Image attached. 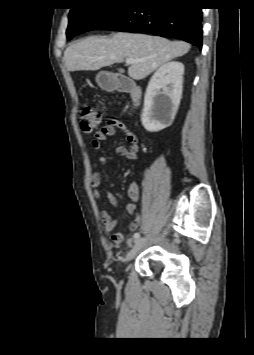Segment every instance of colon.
Listing matches in <instances>:
<instances>
[{"label":"colon","instance_id":"1","mask_svg":"<svg viewBox=\"0 0 254 355\" xmlns=\"http://www.w3.org/2000/svg\"><path fill=\"white\" fill-rule=\"evenodd\" d=\"M81 129L85 132H91L98 128L101 123V112L92 105H86L79 115Z\"/></svg>","mask_w":254,"mask_h":355}]
</instances>
